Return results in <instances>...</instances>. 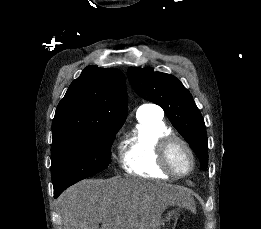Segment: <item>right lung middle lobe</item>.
Returning a JSON list of instances; mask_svg holds the SVG:
<instances>
[{
  "mask_svg": "<svg viewBox=\"0 0 261 229\" xmlns=\"http://www.w3.org/2000/svg\"><path fill=\"white\" fill-rule=\"evenodd\" d=\"M121 126H98L51 146L55 198L72 184L108 167L111 163V145Z\"/></svg>",
  "mask_w": 261,
  "mask_h": 229,
  "instance_id": "dd1d6c3e",
  "label": "right lung middle lobe"
}]
</instances>
